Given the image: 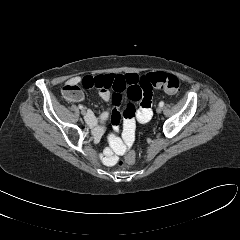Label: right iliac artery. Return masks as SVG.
I'll list each match as a JSON object with an SVG mask.
<instances>
[{
  "label": "right iliac artery",
  "instance_id": "1",
  "mask_svg": "<svg viewBox=\"0 0 240 240\" xmlns=\"http://www.w3.org/2000/svg\"><path fill=\"white\" fill-rule=\"evenodd\" d=\"M80 109H82L83 108V105H81V104H79V106H78Z\"/></svg>",
  "mask_w": 240,
  "mask_h": 240
}]
</instances>
